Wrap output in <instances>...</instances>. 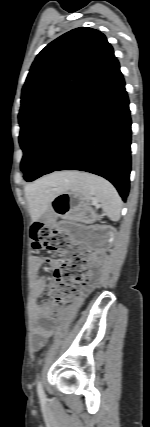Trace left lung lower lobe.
Listing matches in <instances>:
<instances>
[{
  "label": "left lung lower lobe",
  "mask_w": 150,
  "mask_h": 427,
  "mask_svg": "<svg viewBox=\"0 0 150 427\" xmlns=\"http://www.w3.org/2000/svg\"><path fill=\"white\" fill-rule=\"evenodd\" d=\"M131 118L114 58L46 126L31 151L24 179L80 170L109 180L125 201L131 170Z\"/></svg>",
  "instance_id": "1"
}]
</instances>
